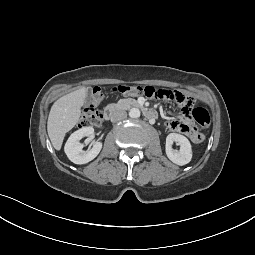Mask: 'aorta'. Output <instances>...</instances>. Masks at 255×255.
<instances>
[{
    "instance_id": "762f6f07",
    "label": "aorta",
    "mask_w": 255,
    "mask_h": 255,
    "mask_svg": "<svg viewBox=\"0 0 255 255\" xmlns=\"http://www.w3.org/2000/svg\"><path fill=\"white\" fill-rule=\"evenodd\" d=\"M129 116L131 118H139L140 117V110L138 108H132L129 110Z\"/></svg>"
}]
</instances>
